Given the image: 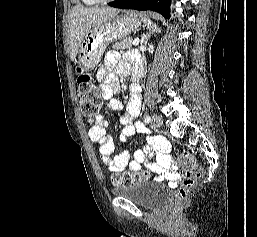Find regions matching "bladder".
I'll return each instance as SVG.
<instances>
[{
  "instance_id": "obj_1",
  "label": "bladder",
  "mask_w": 257,
  "mask_h": 237,
  "mask_svg": "<svg viewBox=\"0 0 257 237\" xmlns=\"http://www.w3.org/2000/svg\"><path fill=\"white\" fill-rule=\"evenodd\" d=\"M116 197L131 200L146 209H158L168 202V190L155 181H140L131 185L118 186L111 190Z\"/></svg>"
}]
</instances>
